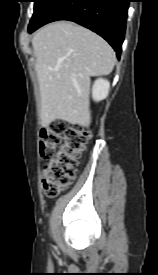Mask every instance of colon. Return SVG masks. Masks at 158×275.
<instances>
[{
	"label": "colon",
	"mask_w": 158,
	"mask_h": 275,
	"mask_svg": "<svg viewBox=\"0 0 158 275\" xmlns=\"http://www.w3.org/2000/svg\"><path fill=\"white\" fill-rule=\"evenodd\" d=\"M90 138V131L60 120L42 129L39 140V153L44 160L41 181L47 197H56L70 185Z\"/></svg>",
	"instance_id": "1"
}]
</instances>
